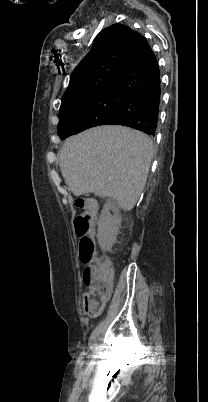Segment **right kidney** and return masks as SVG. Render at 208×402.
Returning a JSON list of instances; mask_svg holds the SVG:
<instances>
[{
  "instance_id": "obj_1",
  "label": "right kidney",
  "mask_w": 208,
  "mask_h": 402,
  "mask_svg": "<svg viewBox=\"0 0 208 402\" xmlns=\"http://www.w3.org/2000/svg\"><path fill=\"white\" fill-rule=\"evenodd\" d=\"M113 210L115 214H110ZM121 226L119 210L113 202L105 204L99 218L97 240L101 250H107L116 240V236Z\"/></svg>"
}]
</instances>
